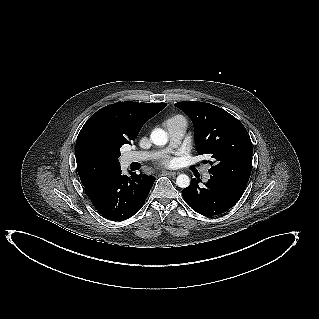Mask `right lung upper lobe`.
Segmentation results:
<instances>
[{"mask_svg":"<svg viewBox=\"0 0 319 319\" xmlns=\"http://www.w3.org/2000/svg\"><path fill=\"white\" fill-rule=\"evenodd\" d=\"M166 103L117 102L94 113L76 141L77 170L83 186L120 168V148L130 144L144 123Z\"/></svg>","mask_w":319,"mask_h":319,"instance_id":"cb5924a9","label":"right lung upper lobe"}]
</instances>
